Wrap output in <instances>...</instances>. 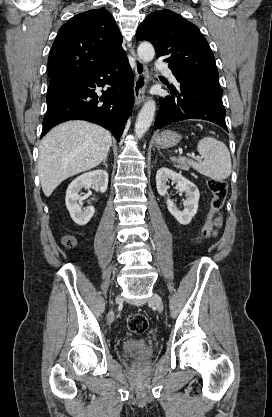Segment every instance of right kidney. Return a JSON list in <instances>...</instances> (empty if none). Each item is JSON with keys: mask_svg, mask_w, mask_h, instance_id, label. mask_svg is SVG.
Segmentation results:
<instances>
[{"mask_svg": "<svg viewBox=\"0 0 272 417\" xmlns=\"http://www.w3.org/2000/svg\"><path fill=\"white\" fill-rule=\"evenodd\" d=\"M91 186H95L102 193L106 192L108 187V173L104 170H94L84 173L74 179L66 191V207L73 221L80 226L86 225L95 212L94 207L91 205L82 210L78 204V200L81 198V195H79L80 190L82 188H91Z\"/></svg>", "mask_w": 272, "mask_h": 417, "instance_id": "1", "label": "right kidney"}]
</instances>
